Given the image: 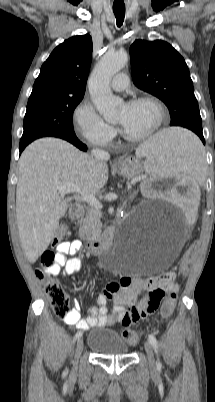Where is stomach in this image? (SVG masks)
Segmentation results:
<instances>
[{"instance_id":"stomach-1","label":"stomach","mask_w":215,"mask_h":402,"mask_svg":"<svg viewBox=\"0 0 215 402\" xmlns=\"http://www.w3.org/2000/svg\"><path fill=\"white\" fill-rule=\"evenodd\" d=\"M124 178H136L143 172V166L138 157H125L116 167Z\"/></svg>"}]
</instances>
